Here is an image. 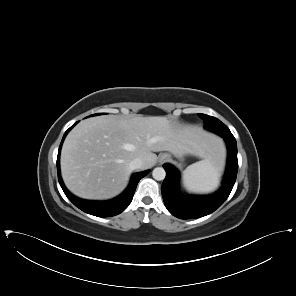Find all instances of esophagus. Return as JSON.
Segmentation results:
<instances>
[{"mask_svg": "<svg viewBox=\"0 0 296 296\" xmlns=\"http://www.w3.org/2000/svg\"><path fill=\"white\" fill-rule=\"evenodd\" d=\"M168 159H169V156L167 154H162L159 157V162L162 163V162L167 161Z\"/></svg>", "mask_w": 296, "mask_h": 296, "instance_id": "34e87169", "label": "esophagus"}]
</instances>
